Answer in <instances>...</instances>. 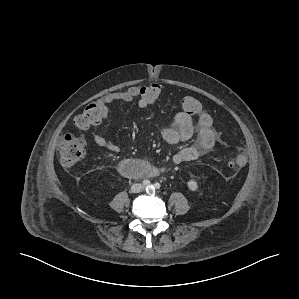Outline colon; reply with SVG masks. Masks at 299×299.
<instances>
[{
  "instance_id": "obj_1",
  "label": "colon",
  "mask_w": 299,
  "mask_h": 299,
  "mask_svg": "<svg viewBox=\"0 0 299 299\" xmlns=\"http://www.w3.org/2000/svg\"><path fill=\"white\" fill-rule=\"evenodd\" d=\"M139 95L147 103L156 102L160 96V88L156 84H150L138 87ZM183 112L188 115H196L201 110V105L197 99L191 96L184 97L181 102ZM103 108L99 101L93 102L85 107L83 112L77 115L74 123L77 128L86 130L93 125H97L102 118ZM86 154V142L83 138L72 134L62 137L59 142V156L61 163L65 166H72L80 161ZM247 162L244 150L236 151L228 160L231 168L238 169L243 167Z\"/></svg>"
}]
</instances>
